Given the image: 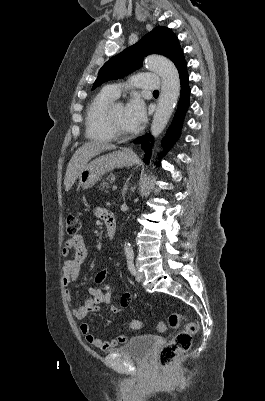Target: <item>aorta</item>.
I'll use <instances>...</instances> for the list:
<instances>
[{
  "label": "aorta",
  "mask_w": 265,
  "mask_h": 401,
  "mask_svg": "<svg viewBox=\"0 0 265 401\" xmlns=\"http://www.w3.org/2000/svg\"><path fill=\"white\" fill-rule=\"evenodd\" d=\"M145 64L149 70L157 72L162 80L161 92L151 124L153 136H159L170 120L178 100L180 92L179 72L172 60L165 58V56H159V54L147 56ZM124 251L125 255H133V247L130 243H125Z\"/></svg>",
  "instance_id": "762f6f07"
}]
</instances>
